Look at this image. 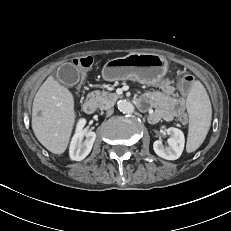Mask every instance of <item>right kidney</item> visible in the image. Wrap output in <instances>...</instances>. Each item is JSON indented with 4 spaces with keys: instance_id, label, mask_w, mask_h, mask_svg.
<instances>
[{
    "instance_id": "obj_1",
    "label": "right kidney",
    "mask_w": 231,
    "mask_h": 231,
    "mask_svg": "<svg viewBox=\"0 0 231 231\" xmlns=\"http://www.w3.org/2000/svg\"><path fill=\"white\" fill-rule=\"evenodd\" d=\"M85 123V119L78 121L76 133L70 144V158L75 161H81L88 156L96 139L95 132L83 130Z\"/></svg>"
}]
</instances>
